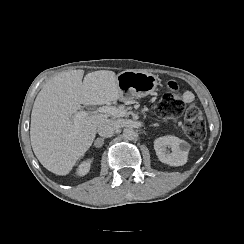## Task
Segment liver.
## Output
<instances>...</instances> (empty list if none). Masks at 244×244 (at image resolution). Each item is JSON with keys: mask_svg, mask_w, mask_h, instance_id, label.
Wrapping results in <instances>:
<instances>
[{"mask_svg": "<svg viewBox=\"0 0 244 244\" xmlns=\"http://www.w3.org/2000/svg\"><path fill=\"white\" fill-rule=\"evenodd\" d=\"M61 72L37 94L31 111L30 142L39 162L50 172L65 176L92 146L98 125L107 114L85 116L75 127L73 116L82 105H104L121 100L114 71Z\"/></svg>", "mask_w": 244, "mask_h": 244, "instance_id": "6515ba94", "label": "liver"}]
</instances>
